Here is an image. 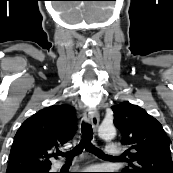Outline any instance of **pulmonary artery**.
<instances>
[{"label":"pulmonary artery","instance_id":"1","mask_svg":"<svg viewBox=\"0 0 173 173\" xmlns=\"http://www.w3.org/2000/svg\"><path fill=\"white\" fill-rule=\"evenodd\" d=\"M105 151L108 155H112V156H116V155H119L121 153L120 147L116 146V145L107 146Z\"/></svg>","mask_w":173,"mask_h":173}]
</instances>
